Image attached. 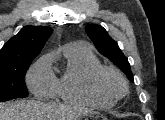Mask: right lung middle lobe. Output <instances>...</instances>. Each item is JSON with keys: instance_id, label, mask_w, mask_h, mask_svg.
Instances as JSON below:
<instances>
[{"instance_id": "right-lung-middle-lobe-1", "label": "right lung middle lobe", "mask_w": 165, "mask_h": 120, "mask_svg": "<svg viewBox=\"0 0 165 120\" xmlns=\"http://www.w3.org/2000/svg\"><path fill=\"white\" fill-rule=\"evenodd\" d=\"M32 60L0 62V101L28 96L24 77Z\"/></svg>"}]
</instances>
